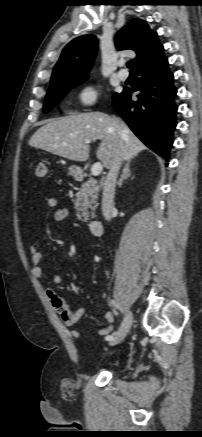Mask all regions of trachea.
Instances as JSON below:
<instances>
[{"mask_svg": "<svg viewBox=\"0 0 202 437\" xmlns=\"http://www.w3.org/2000/svg\"><path fill=\"white\" fill-rule=\"evenodd\" d=\"M127 67H128L130 70H132V68H133V64H132L131 61H128V62H127Z\"/></svg>", "mask_w": 202, "mask_h": 437, "instance_id": "trachea-1", "label": "trachea"}]
</instances>
